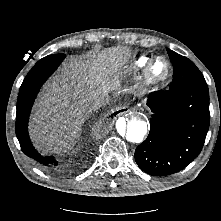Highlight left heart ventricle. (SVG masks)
Listing matches in <instances>:
<instances>
[{"mask_svg":"<svg viewBox=\"0 0 221 221\" xmlns=\"http://www.w3.org/2000/svg\"><path fill=\"white\" fill-rule=\"evenodd\" d=\"M167 67L163 60H158L153 66V75L161 78L166 74Z\"/></svg>","mask_w":221,"mask_h":221,"instance_id":"left-heart-ventricle-1","label":"left heart ventricle"}]
</instances>
